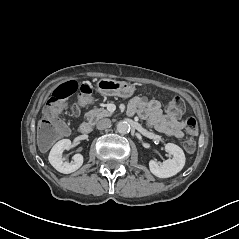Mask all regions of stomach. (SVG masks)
I'll return each instance as SVG.
<instances>
[{"mask_svg":"<svg viewBox=\"0 0 239 239\" xmlns=\"http://www.w3.org/2000/svg\"><path fill=\"white\" fill-rule=\"evenodd\" d=\"M97 91L106 96L128 98L133 95L135 87L125 81L102 78L97 82Z\"/></svg>","mask_w":239,"mask_h":239,"instance_id":"0dacf381","label":"stomach"}]
</instances>
